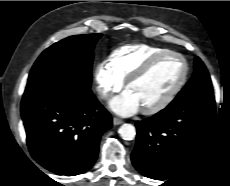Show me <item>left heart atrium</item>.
<instances>
[{"label":"left heart atrium","instance_id":"39dd6f15","mask_svg":"<svg viewBox=\"0 0 230 186\" xmlns=\"http://www.w3.org/2000/svg\"><path fill=\"white\" fill-rule=\"evenodd\" d=\"M109 106L115 113L122 116L132 115L141 109L139 101L129 90L113 98Z\"/></svg>","mask_w":230,"mask_h":186}]
</instances>
